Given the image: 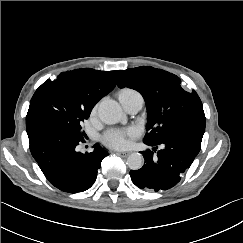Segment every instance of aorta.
<instances>
[{
	"label": "aorta",
	"mask_w": 243,
	"mask_h": 243,
	"mask_svg": "<svg viewBox=\"0 0 243 243\" xmlns=\"http://www.w3.org/2000/svg\"><path fill=\"white\" fill-rule=\"evenodd\" d=\"M98 116L105 124L113 125L125 121V116L120 105L114 100H104L99 104ZM144 164L143 156L131 153L127 157V165L131 170H139Z\"/></svg>",
	"instance_id": "obj_1"
}]
</instances>
